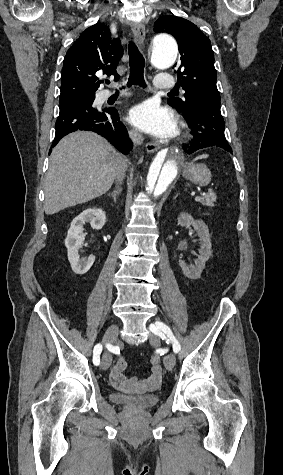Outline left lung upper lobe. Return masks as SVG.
I'll use <instances>...</instances> for the list:
<instances>
[{
  "instance_id": "obj_1",
  "label": "left lung upper lobe",
  "mask_w": 283,
  "mask_h": 475,
  "mask_svg": "<svg viewBox=\"0 0 283 475\" xmlns=\"http://www.w3.org/2000/svg\"><path fill=\"white\" fill-rule=\"evenodd\" d=\"M154 31L173 35L181 54L177 75L185 90V99L172 98L167 103L185 115L190 113L195 103L201 99L220 100L216 86L214 54L209 38L192 22L171 15L159 17L154 24Z\"/></svg>"
}]
</instances>
